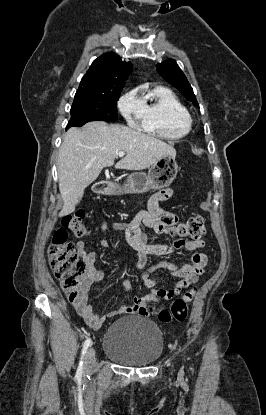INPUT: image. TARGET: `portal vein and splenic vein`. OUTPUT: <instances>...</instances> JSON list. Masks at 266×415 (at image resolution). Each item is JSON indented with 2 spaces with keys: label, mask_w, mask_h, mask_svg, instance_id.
<instances>
[{
  "label": "portal vein and splenic vein",
  "mask_w": 266,
  "mask_h": 415,
  "mask_svg": "<svg viewBox=\"0 0 266 415\" xmlns=\"http://www.w3.org/2000/svg\"><path fill=\"white\" fill-rule=\"evenodd\" d=\"M124 155H125V152L124 151H121V152L118 153V156L119 157H123Z\"/></svg>",
  "instance_id": "obj_1"
}]
</instances>
